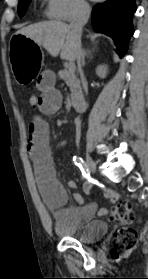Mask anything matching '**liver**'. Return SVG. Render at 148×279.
<instances>
[{"mask_svg":"<svg viewBox=\"0 0 148 279\" xmlns=\"http://www.w3.org/2000/svg\"><path fill=\"white\" fill-rule=\"evenodd\" d=\"M17 34L25 35L43 46L52 56L60 53L63 60H76V38L70 27L60 21H46L20 29Z\"/></svg>","mask_w":148,"mask_h":279,"instance_id":"obj_1","label":"liver"}]
</instances>
